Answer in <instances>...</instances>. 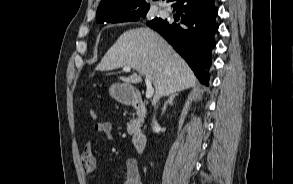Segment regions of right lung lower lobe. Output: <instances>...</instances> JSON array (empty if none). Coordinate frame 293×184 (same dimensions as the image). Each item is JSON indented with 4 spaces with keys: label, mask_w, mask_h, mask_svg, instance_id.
Segmentation results:
<instances>
[{
    "label": "right lung lower lobe",
    "mask_w": 293,
    "mask_h": 184,
    "mask_svg": "<svg viewBox=\"0 0 293 184\" xmlns=\"http://www.w3.org/2000/svg\"><path fill=\"white\" fill-rule=\"evenodd\" d=\"M180 16L177 22L152 20L147 25L158 31L186 60L199 81L208 85L211 51L218 30L214 0H168Z\"/></svg>",
    "instance_id": "obj_1"
}]
</instances>
